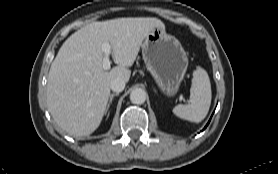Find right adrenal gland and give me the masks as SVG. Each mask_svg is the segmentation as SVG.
I'll return each instance as SVG.
<instances>
[{
    "label": "right adrenal gland",
    "mask_w": 278,
    "mask_h": 174,
    "mask_svg": "<svg viewBox=\"0 0 278 174\" xmlns=\"http://www.w3.org/2000/svg\"><path fill=\"white\" fill-rule=\"evenodd\" d=\"M118 95H119V93H113V94L110 95L109 102H108L107 107H106V110H105V114L108 112L109 107H110V105H111V103H112L113 98H114L115 96H118Z\"/></svg>",
    "instance_id": "1"
}]
</instances>
